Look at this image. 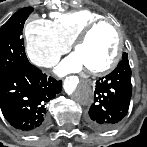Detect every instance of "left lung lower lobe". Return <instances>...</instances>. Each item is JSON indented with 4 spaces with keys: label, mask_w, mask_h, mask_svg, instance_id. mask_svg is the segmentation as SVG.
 <instances>
[{
    "label": "left lung lower lobe",
    "mask_w": 147,
    "mask_h": 147,
    "mask_svg": "<svg viewBox=\"0 0 147 147\" xmlns=\"http://www.w3.org/2000/svg\"><path fill=\"white\" fill-rule=\"evenodd\" d=\"M132 94L131 69L122 58L116 69L96 82L88 124L98 130L116 126L127 114Z\"/></svg>",
    "instance_id": "obj_1"
}]
</instances>
